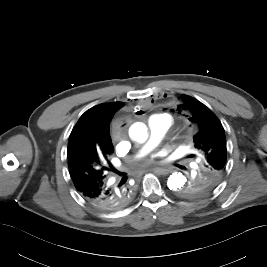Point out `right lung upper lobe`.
I'll list each match as a JSON object with an SVG mask.
<instances>
[{"mask_svg":"<svg viewBox=\"0 0 267 267\" xmlns=\"http://www.w3.org/2000/svg\"><path fill=\"white\" fill-rule=\"evenodd\" d=\"M123 105L122 102L100 104L80 117L69 137L68 161L82 159L86 154L106 155L114 151L109 124L113 114Z\"/></svg>","mask_w":267,"mask_h":267,"instance_id":"obj_1","label":"right lung upper lobe"}]
</instances>
